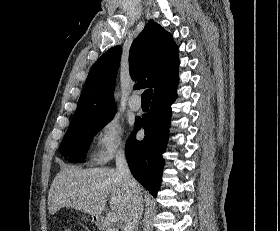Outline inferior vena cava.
<instances>
[{"label":"inferior vena cava","mask_w":280,"mask_h":231,"mask_svg":"<svg viewBox=\"0 0 280 231\" xmlns=\"http://www.w3.org/2000/svg\"><path fill=\"white\" fill-rule=\"evenodd\" d=\"M116 171H118L119 175L123 177V181L128 183L129 187L132 189L131 209L127 219L124 221L122 231H137L138 221L142 217L143 197L139 183L135 181L130 173L123 147H120L116 153Z\"/></svg>","instance_id":"1"}]
</instances>
